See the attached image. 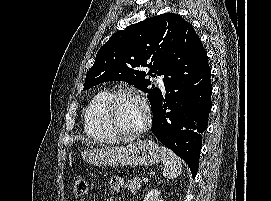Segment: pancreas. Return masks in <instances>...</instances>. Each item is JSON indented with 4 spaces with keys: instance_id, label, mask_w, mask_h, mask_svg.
<instances>
[{
    "instance_id": "obj_1",
    "label": "pancreas",
    "mask_w": 271,
    "mask_h": 201,
    "mask_svg": "<svg viewBox=\"0 0 271 201\" xmlns=\"http://www.w3.org/2000/svg\"><path fill=\"white\" fill-rule=\"evenodd\" d=\"M141 186H142L141 178L136 177L133 180H129L126 183L125 188H128L129 190H131L132 193H135L137 190H139Z\"/></svg>"
}]
</instances>
